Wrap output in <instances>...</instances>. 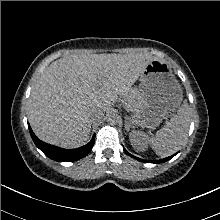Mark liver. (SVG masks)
Returning <instances> with one entry per match:
<instances>
[{
    "mask_svg": "<svg viewBox=\"0 0 220 220\" xmlns=\"http://www.w3.org/2000/svg\"><path fill=\"white\" fill-rule=\"evenodd\" d=\"M148 54H72L51 63L28 100L30 125L42 141L63 148L85 144L91 112L124 97L147 64Z\"/></svg>",
    "mask_w": 220,
    "mask_h": 220,
    "instance_id": "liver-1",
    "label": "liver"
}]
</instances>
